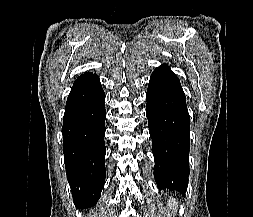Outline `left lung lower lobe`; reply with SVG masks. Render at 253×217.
<instances>
[{
	"label": "left lung lower lobe",
	"instance_id": "left-lung-lower-lobe-1",
	"mask_svg": "<svg viewBox=\"0 0 253 217\" xmlns=\"http://www.w3.org/2000/svg\"><path fill=\"white\" fill-rule=\"evenodd\" d=\"M146 99L157 186L185 195L189 176V115L179 79L167 65L152 73Z\"/></svg>",
	"mask_w": 253,
	"mask_h": 217
}]
</instances>
